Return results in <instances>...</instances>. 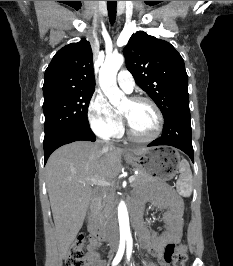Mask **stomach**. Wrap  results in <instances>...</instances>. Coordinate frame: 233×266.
<instances>
[{
  "label": "stomach",
  "mask_w": 233,
  "mask_h": 266,
  "mask_svg": "<svg viewBox=\"0 0 233 266\" xmlns=\"http://www.w3.org/2000/svg\"><path fill=\"white\" fill-rule=\"evenodd\" d=\"M126 160L155 180H173L175 166H182L183 156H179V147H152L141 154H127Z\"/></svg>",
  "instance_id": "1"
}]
</instances>
